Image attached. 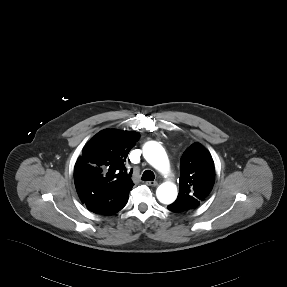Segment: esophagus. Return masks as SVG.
Returning <instances> with one entry per match:
<instances>
[{"label": "esophagus", "instance_id": "obj_1", "mask_svg": "<svg viewBox=\"0 0 287 287\" xmlns=\"http://www.w3.org/2000/svg\"><path fill=\"white\" fill-rule=\"evenodd\" d=\"M146 184H147L148 186H152V187H155V186L158 185V183H157L156 181H147Z\"/></svg>", "mask_w": 287, "mask_h": 287}]
</instances>
